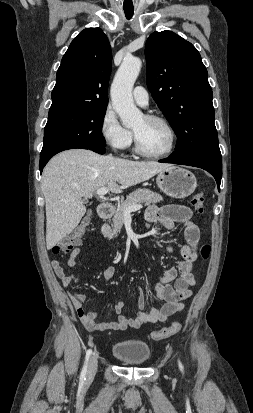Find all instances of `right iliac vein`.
<instances>
[{
  "label": "right iliac vein",
  "instance_id": "63e3f726",
  "mask_svg": "<svg viewBox=\"0 0 253 413\" xmlns=\"http://www.w3.org/2000/svg\"><path fill=\"white\" fill-rule=\"evenodd\" d=\"M98 359L96 355H93L90 360V365L87 372V379L92 380L97 372Z\"/></svg>",
  "mask_w": 253,
  "mask_h": 413
}]
</instances>
